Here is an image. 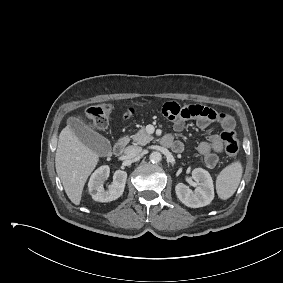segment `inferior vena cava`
Instances as JSON below:
<instances>
[{"label": "inferior vena cava", "mask_w": 283, "mask_h": 283, "mask_svg": "<svg viewBox=\"0 0 283 283\" xmlns=\"http://www.w3.org/2000/svg\"><path fill=\"white\" fill-rule=\"evenodd\" d=\"M142 152V148L139 146H128L125 149V155L129 158L138 156Z\"/></svg>", "instance_id": "1"}]
</instances>
